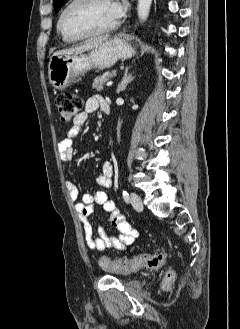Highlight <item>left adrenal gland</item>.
Segmentation results:
<instances>
[{
  "instance_id": "obj_1",
  "label": "left adrenal gland",
  "mask_w": 240,
  "mask_h": 329,
  "mask_svg": "<svg viewBox=\"0 0 240 329\" xmlns=\"http://www.w3.org/2000/svg\"><path fill=\"white\" fill-rule=\"evenodd\" d=\"M128 70H129V67L126 68L124 76L118 85L117 93H120L121 91L125 90L128 83H130L134 79L132 74H128Z\"/></svg>"
}]
</instances>
